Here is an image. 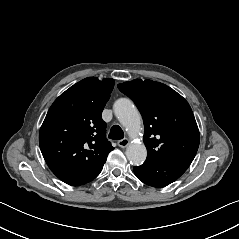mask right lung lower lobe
Segmentation results:
<instances>
[{
	"mask_svg": "<svg viewBox=\"0 0 239 239\" xmlns=\"http://www.w3.org/2000/svg\"><path fill=\"white\" fill-rule=\"evenodd\" d=\"M104 163L100 165L97 169L87 173L54 172V174L60 180H62L63 182L69 185L79 186L95 179L100 174Z\"/></svg>",
	"mask_w": 239,
	"mask_h": 239,
	"instance_id": "obj_1",
	"label": "right lung lower lobe"
}]
</instances>
